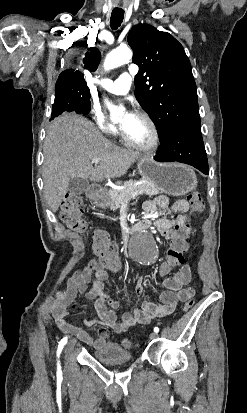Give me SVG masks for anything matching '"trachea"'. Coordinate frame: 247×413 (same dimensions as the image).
<instances>
[{"instance_id":"1","label":"trachea","mask_w":247,"mask_h":413,"mask_svg":"<svg viewBox=\"0 0 247 413\" xmlns=\"http://www.w3.org/2000/svg\"><path fill=\"white\" fill-rule=\"evenodd\" d=\"M123 18H124V11L112 12L111 21H110L111 28L113 30H116L118 27H120L123 21Z\"/></svg>"}]
</instances>
